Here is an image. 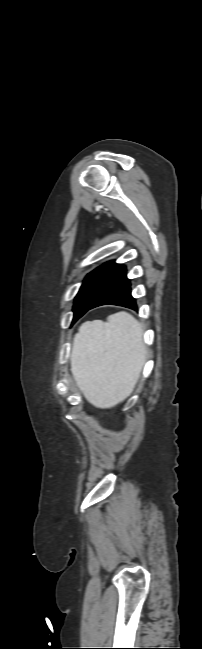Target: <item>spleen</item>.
<instances>
[{"instance_id": "obj_1", "label": "spleen", "mask_w": 202, "mask_h": 649, "mask_svg": "<svg viewBox=\"0 0 202 649\" xmlns=\"http://www.w3.org/2000/svg\"><path fill=\"white\" fill-rule=\"evenodd\" d=\"M141 324L124 311L84 323L75 336L71 372L85 398L108 408L133 391L145 362Z\"/></svg>"}]
</instances>
